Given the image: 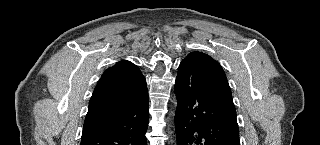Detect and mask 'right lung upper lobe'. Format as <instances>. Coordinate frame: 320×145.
Listing matches in <instances>:
<instances>
[{
    "instance_id": "1",
    "label": "right lung upper lobe",
    "mask_w": 320,
    "mask_h": 145,
    "mask_svg": "<svg viewBox=\"0 0 320 145\" xmlns=\"http://www.w3.org/2000/svg\"><path fill=\"white\" fill-rule=\"evenodd\" d=\"M145 80L139 68L130 61L121 60L101 76L89 101L86 118L108 113L127 101L129 91Z\"/></svg>"
}]
</instances>
